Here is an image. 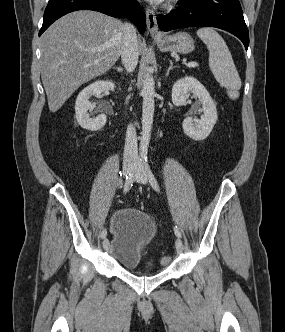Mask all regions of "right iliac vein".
Instances as JSON below:
<instances>
[{"mask_svg": "<svg viewBox=\"0 0 285 332\" xmlns=\"http://www.w3.org/2000/svg\"><path fill=\"white\" fill-rule=\"evenodd\" d=\"M133 168L134 167H133L132 164H126V165H124V167H123V174L124 175H128L130 172L133 171ZM103 248L105 250H107L109 248V241H108L107 238H104V240H103Z\"/></svg>", "mask_w": 285, "mask_h": 332, "instance_id": "right-iliac-vein-1", "label": "right iliac vein"}]
</instances>
